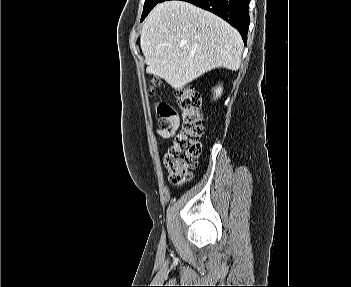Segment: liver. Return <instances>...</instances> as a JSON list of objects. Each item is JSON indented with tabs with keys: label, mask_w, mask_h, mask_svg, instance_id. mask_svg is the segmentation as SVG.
<instances>
[{
	"label": "liver",
	"mask_w": 351,
	"mask_h": 287,
	"mask_svg": "<svg viewBox=\"0 0 351 287\" xmlns=\"http://www.w3.org/2000/svg\"><path fill=\"white\" fill-rule=\"evenodd\" d=\"M140 46L147 73L178 90L212 69L238 70L243 52L235 28L213 13L177 0L159 3L149 13Z\"/></svg>",
	"instance_id": "6515ba94"
}]
</instances>
